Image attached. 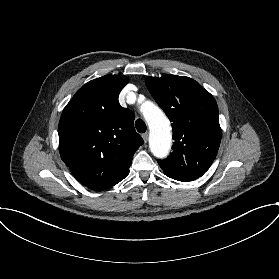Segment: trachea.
<instances>
[{
    "label": "trachea",
    "instance_id": "trachea-1",
    "mask_svg": "<svg viewBox=\"0 0 279 279\" xmlns=\"http://www.w3.org/2000/svg\"><path fill=\"white\" fill-rule=\"evenodd\" d=\"M135 127L139 133H144L146 131V124L142 119L136 120Z\"/></svg>",
    "mask_w": 279,
    "mask_h": 279
}]
</instances>
